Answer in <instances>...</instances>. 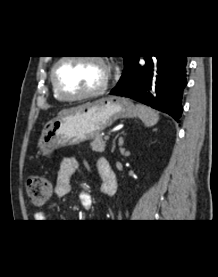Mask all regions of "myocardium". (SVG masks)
I'll return each instance as SVG.
<instances>
[{"instance_id": "f54148a6", "label": "myocardium", "mask_w": 218, "mask_h": 277, "mask_svg": "<svg viewBox=\"0 0 218 277\" xmlns=\"http://www.w3.org/2000/svg\"><path fill=\"white\" fill-rule=\"evenodd\" d=\"M68 59H85V60H90V61L97 62L99 65H101L104 68V71H105V76H104L102 84L97 89H94L92 91H89V92H86V93H83V94H80V95H67V94H65L62 91V89L60 88L59 83H58L57 68L63 61L68 60ZM109 80H110V68L106 64L104 59L100 56H97V55H79L78 57L65 55V56L60 57L54 63V65L52 66V69H51V82H52L53 89L56 92V94L62 100H65V101H79V100H84V99L97 97V96L103 94L107 90Z\"/></svg>"}]
</instances>
